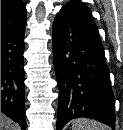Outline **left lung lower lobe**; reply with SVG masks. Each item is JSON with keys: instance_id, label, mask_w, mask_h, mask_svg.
<instances>
[{"instance_id": "left-lung-lower-lobe-1", "label": "left lung lower lobe", "mask_w": 123, "mask_h": 130, "mask_svg": "<svg viewBox=\"0 0 123 130\" xmlns=\"http://www.w3.org/2000/svg\"><path fill=\"white\" fill-rule=\"evenodd\" d=\"M53 58L59 86L57 130L79 117L115 128V97L100 36L64 7L53 22Z\"/></svg>"}]
</instances>
